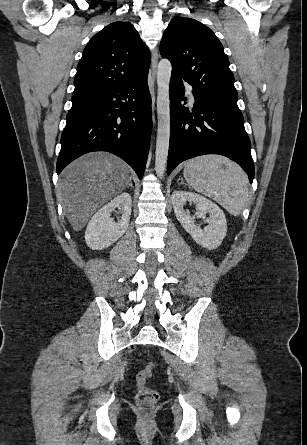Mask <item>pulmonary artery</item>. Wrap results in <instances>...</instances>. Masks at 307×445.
<instances>
[{
  "mask_svg": "<svg viewBox=\"0 0 307 445\" xmlns=\"http://www.w3.org/2000/svg\"><path fill=\"white\" fill-rule=\"evenodd\" d=\"M183 87H184V88H187V87H188V84H187V83H184V84H183ZM191 99H193L192 96H191Z\"/></svg>",
  "mask_w": 307,
  "mask_h": 445,
  "instance_id": "obj_1",
  "label": "pulmonary artery"
}]
</instances>
